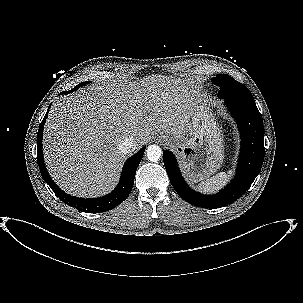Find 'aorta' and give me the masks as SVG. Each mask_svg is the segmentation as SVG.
Segmentation results:
<instances>
[{
    "label": "aorta",
    "mask_w": 303,
    "mask_h": 303,
    "mask_svg": "<svg viewBox=\"0 0 303 303\" xmlns=\"http://www.w3.org/2000/svg\"><path fill=\"white\" fill-rule=\"evenodd\" d=\"M146 156L151 162H157L162 156V150L158 145H150L146 149Z\"/></svg>",
    "instance_id": "obj_1"
}]
</instances>
